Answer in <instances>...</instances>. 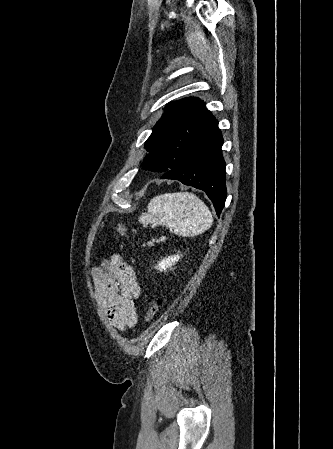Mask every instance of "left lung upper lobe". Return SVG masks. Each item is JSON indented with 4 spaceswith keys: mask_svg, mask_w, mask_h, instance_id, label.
<instances>
[{
    "mask_svg": "<svg viewBox=\"0 0 333 449\" xmlns=\"http://www.w3.org/2000/svg\"><path fill=\"white\" fill-rule=\"evenodd\" d=\"M205 103L198 98H185L168 104L145 143L155 161L152 171L166 173L185 160L196 136L210 116Z\"/></svg>",
    "mask_w": 333,
    "mask_h": 449,
    "instance_id": "5c2ea615",
    "label": "left lung upper lobe"
}]
</instances>
